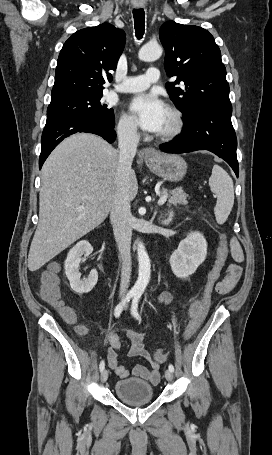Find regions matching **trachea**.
Listing matches in <instances>:
<instances>
[{
	"mask_svg": "<svg viewBox=\"0 0 272 455\" xmlns=\"http://www.w3.org/2000/svg\"><path fill=\"white\" fill-rule=\"evenodd\" d=\"M133 17H134V26H135V33L138 39H141L144 35L145 31V12L143 9H134L133 10Z\"/></svg>",
	"mask_w": 272,
	"mask_h": 455,
	"instance_id": "1",
	"label": "trachea"
}]
</instances>
